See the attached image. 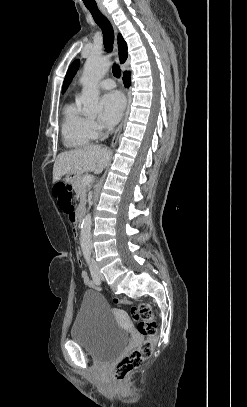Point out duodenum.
Instances as JSON below:
<instances>
[{"instance_id":"1","label":"duodenum","mask_w":247,"mask_h":407,"mask_svg":"<svg viewBox=\"0 0 247 407\" xmlns=\"http://www.w3.org/2000/svg\"><path fill=\"white\" fill-rule=\"evenodd\" d=\"M85 216V209L81 207L77 212V221L80 223L83 221Z\"/></svg>"}]
</instances>
